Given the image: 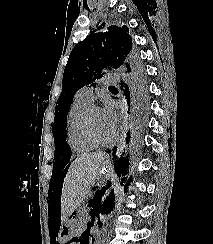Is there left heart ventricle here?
<instances>
[{
	"label": "left heart ventricle",
	"mask_w": 213,
	"mask_h": 244,
	"mask_svg": "<svg viewBox=\"0 0 213 244\" xmlns=\"http://www.w3.org/2000/svg\"><path fill=\"white\" fill-rule=\"evenodd\" d=\"M90 124L93 133L99 139H108L113 133V129L105 122L101 109H93L91 111Z\"/></svg>",
	"instance_id": "b2bd125f"
}]
</instances>
